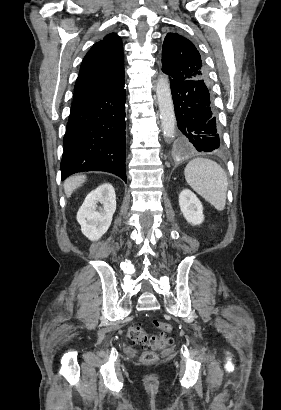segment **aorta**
<instances>
[{
	"label": "aorta",
	"mask_w": 281,
	"mask_h": 410,
	"mask_svg": "<svg viewBox=\"0 0 281 410\" xmlns=\"http://www.w3.org/2000/svg\"><path fill=\"white\" fill-rule=\"evenodd\" d=\"M156 95L163 135L166 139L171 140L175 136L176 117L170 84L167 78L161 77L158 79Z\"/></svg>",
	"instance_id": "aorta-1"
}]
</instances>
